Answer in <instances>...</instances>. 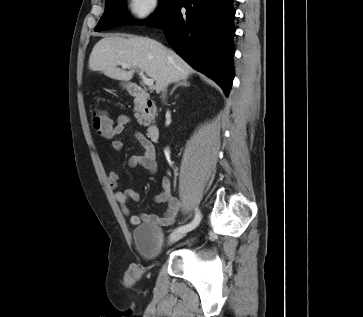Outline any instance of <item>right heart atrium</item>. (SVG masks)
<instances>
[{
    "instance_id": "d8ad5b80",
    "label": "right heart atrium",
    "mask_w": 363,
    "mask_h": 317,
    "mask_svg": "<svg viewBox=\"0 0 363 317\" xmlns=\"http://www.w3.org/2000/svg\"><path fill=\"white\" fill-rule=\"evenodd\" d=\"M129 13L137 19L152 17L159 9V0H127Z\"/></svg>"
}]
</instances>
